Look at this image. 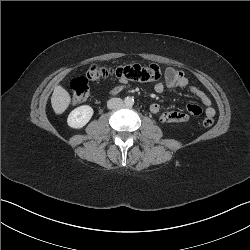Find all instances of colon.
Returning <instances> with one entry per match:
<instances>
[{
  "instance_id": "5ec220e1",
  "label": "colon",
  "mask_w": 250,
  "mask_h": 250,
  "mask_svg": "<svg viewBox=\"0 0 250 250\" xmlns=\"http://www.w3.org/2000/svg\"><path fill=\"white\" fill-rule=\"evenodd\" d=\"M117 77L123 80L137 81V82H152L160 79L161 68L152 64L149 66H142L139 64L118 65L115 67H103L99 65H92L86 72L85 77L75 78L71 83V100L73 104H79L86 101L91 91L88 81L101 80L107 77ZM214 123L212 117L207 116L203 120L204 127H211Z\"/></svg>"
}]
</instances>
